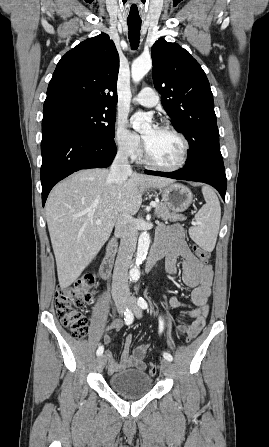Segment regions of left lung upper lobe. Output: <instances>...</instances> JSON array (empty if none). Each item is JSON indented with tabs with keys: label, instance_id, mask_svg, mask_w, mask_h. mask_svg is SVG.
Wrapping results in <instances>:
<instances>
[{
	"label": "left lung upper lobe",
	"instance_id": "left-lung-upper-lobe-1",
	"mask_svg": "<svg viewBox=\"0 0 269 447\" xmlns=\"http://www.w3.org/2000/svg\"><path fill=\"white\" fill-rule=\"evenodd\" d=\"M152 78L176 131L188 140L185 167L222 157L213 95L199 63L176 43L159 39L151 49Z\"/></svg>",
	"mask_w": 269,
	"mask_h": 447
}]
</instances>
